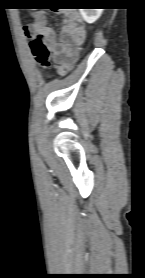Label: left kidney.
I'll list each match as a JSON object with an SVG mask.
<instances>
[{"label":"left kidney","mask_w":145,"mask_h":278,"mask_svg":"<svg viewBox=\"0 0 145 278\" xmlns=\"http://www.w3.org/2000/svg\"><path fill=\"white\" fill-rule=\"evenodd\" d=\"M104 9H80L83 19L87 23H94L102 14Z\"/></svg>","instance_id":"left-kidney-1"}]
</instances>
